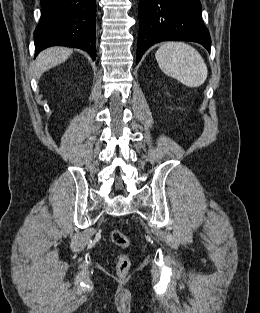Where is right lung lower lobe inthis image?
Listing matches in <instances>:
<instances>
[{"label": "right lung lower lobe", "instance_id": "1", "mask_svg": "<svg viewBox=\"0 0 260 313\" xmlns=\"http://www.w3.org/2000/svg\"><path fill=\"white\" fill-rule=\"evenodd\" d=\"M42 15L34 32L35 56L50 46L87 51L96 58L95 0H41Z\"/></svg>", "mask_w": 260, "mask_h": 313}]
</instances>
